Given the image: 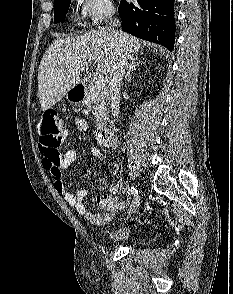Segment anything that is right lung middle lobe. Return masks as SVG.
Wrapping results in <instances>:
<instances>
[{
  "label": "right lung middle lobe",
  "mask_w": 233,
  "mask_h": 294,
  "mask_svg": "<svg viewBox=\"0 0 233 294\" xmlns=\"http://www.w3.org/2000/svg\"><path fill=\"white\" fill-rule=\"evenodd\" d=\"M71 0H54V23L62 22L69 9Z\"/></svg>",
  "instance_id": "obj_1"
}]
</instances>
